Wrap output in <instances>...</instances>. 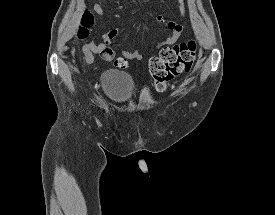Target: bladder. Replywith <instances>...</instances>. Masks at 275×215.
I'll use <instances>...</instances> for the list:
<instances>
[{"mask_svg": "<svg viewBox=\"0 0 275 215\" xmlns=\"http://www.w3.org/2000/svg\"><path fill=\"white\" fill-rule=\"evenodd\" d=\"M100 86L108 97L116 102H126L135 94L133 79L115 70H106L101 74Z\"/></svg>", "mask_w": 275, "mask_h": 215, "instance_id": "obj_1", "label": "bladder"}]
</instances>
